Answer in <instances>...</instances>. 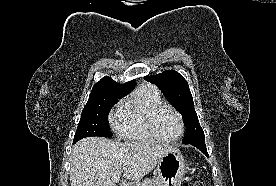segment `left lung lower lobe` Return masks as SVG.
Listing matches in <instances>:
<instances>
[{
	"label": "left lung lower lobe",
	"mask_w": 276,
	"mask_h": 186,
	"mask_svg": "<svg viewBox=\"0 0 276 186\" xmlns=\"http://www.w3.org/2000/svg\"><path fill=\"white\" fill-rule=\"evenodd\" d=\"M189 144L197 147L201 152H203L206 156H208L205 142H196V143H189Z\"/></svg>",
	"instance_id": "obj_1"
}]
</instances>
